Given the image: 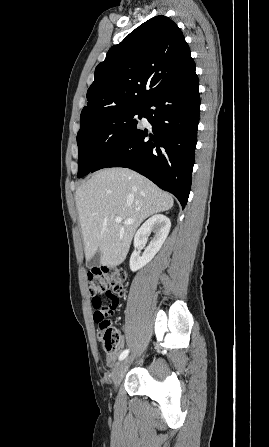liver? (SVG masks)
Masks as SVG:
<instances>
[{"instance_id": "1", "label": "liver", "mask_w": 269, "mask_h": 447, "mask_svg": "<svg viewBox=\"0 0 269 447\" xmlns=\"http://www.w3.org/2000/svg\"><path fill=\"white\" fill-rule=\"evenodd\" d=\"M86 261L101 251V265L116 267L126 259L132 237L143 220L173 208L174 200L150 180L127 168H105L75 194ZM115 218H122L121 224ZM134 220L133 224H124Z\"/></svg>"}]
</instances>
